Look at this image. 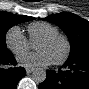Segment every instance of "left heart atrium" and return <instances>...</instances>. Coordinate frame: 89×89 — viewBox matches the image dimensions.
I'll use <instances>...</instances> for the list:
<instances>
[{
	"label": "left heart atrium",
	"instance_id": "1",
	"mask_svg": "<svg viewBox=\"0 0 89 89\" xmlns=\"http://www.w3.org/2000/svg\"><path fill=\"white\" fill-rule=\"evenodd\" d=\"M17 59L21 65L26 67L46 66L53 62L50 55L45 51L25 53L18 56Z\"/></svg>",
	"mask_w": 89,
	"mask_h": 89
}]
</instances>
